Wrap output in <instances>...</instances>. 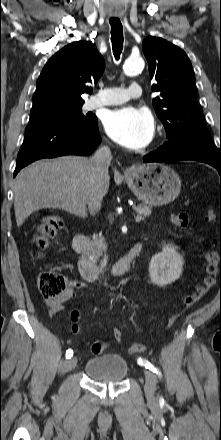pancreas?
Masks as SVG:
<instances>
[{
    "mask_svg": "<svg viewBox=\"0 0 221 440\" xmlns=\"http://www.w3.org/2000/svg\"><path fill=\"white\" fill-rule=\"evenodd\" d=\"M134 210L139 215H141L142 219H144L147 216H150L152 213L151 207L147 205H138L134 207ZM102 241L103 239L101 238V236L98 237L97 235H95L93 237V241L90 242V244L87 247L86 255L88 257H92L93 259H96L98 256H100L103 250Z\"/></svg>",
    "mask_w": 221,
    "mask_h": 440,
    "instance_id": "obj_1",
    "label": "pancreas"
}]
</instances>
